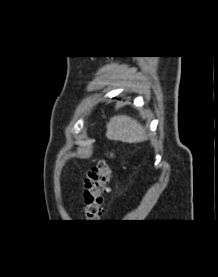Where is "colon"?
Segmentation results:
<instances>
[{
  "instance_id": "obj_1",
  "label": "colon",
  "mask_w": 218,
  "mask_h": 277,
  "mask_svg": "<svg viewBox=\"0 0 218 277\" xmlns=\"http://www.w3.org/2000/svg\"><path fill=\"white\" fill-rule=\"evenodd\" d=\"M111 168L102 160L88 169L84 180L83 216L87 222H94L102 214L104 196L110 181Z\"/></svg>"
}]
</instances>
